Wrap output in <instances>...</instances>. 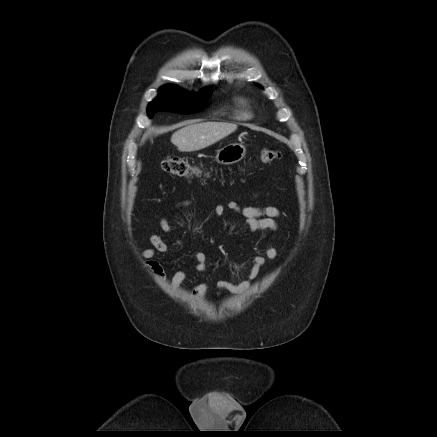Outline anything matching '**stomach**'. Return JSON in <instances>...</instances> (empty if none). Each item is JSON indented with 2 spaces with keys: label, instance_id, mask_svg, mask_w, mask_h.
I'll list each match as a JSON object with an SVG mask.
<instances>
[{
  "label": "stomach",
  "instance_id": "0dacf381",
  "mask_svg": "<svg viewBox=\"0 0 437 437\" xmlns=\"http://www.w3.org/2000/svg\"><path fill=\"white\" fill-rule=\"evenodd\" d=\"M245 154L246 148L243 144L232 143L218 150L215 159L220 164L230 165L241 161Z\"/></svg>",
  "mask_w": 437,
  "mask_h": 437
}]
</instances>
